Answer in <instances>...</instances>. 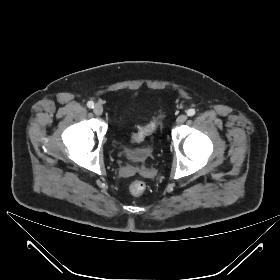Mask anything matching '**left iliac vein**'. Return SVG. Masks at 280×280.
<instances>
[{
	"instance_id": "left-iliac-vein-1",
	"label": "left iliac vein",
	"mask_w": 280,
	"mask_h": 280,
	"mask_svg": "<svg viewBox=\"0 0 280 280\" xmlns=\"http://www.w3.org/2000/svg\"><path fill=\"white\" fill-rule=\"evenodd\" d=\"M187 115L186 114H182L180 116H178L177 120H176V123L177 124H182L184 123L186 120H187Z\"/></svg>"
}]
</instances>
